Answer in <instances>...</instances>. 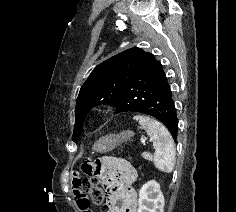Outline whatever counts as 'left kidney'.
Masks as SVG:
<instances>
[{
    "instance_id": "left-kidney-1",
    "label": "left kidney",
    "mask_w": 236,
    "mask_h": 212,
    "mask_svg": "<svg viewBox=\"0 0 236 212\" xmlns=\"http://www.w3.org/2000/svg\"><path fill=\"white\" fill-rule=\"evenodd\" d=\"M138 205L137 212H163L164 196L156 181H148L141 187Z\"/></svg>"
}]
</instances>
